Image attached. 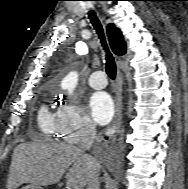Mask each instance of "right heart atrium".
<instances>
[{"mask_svg":"<svg viewBox=\"0 0 188 189\" xmlns=\"http://www.w3.org/2000/svg\"><path fill=\"white\" fill-rule=\"evenodd\" d=\"M56 115L61 135L68 142L76 143L94 133V124L76 103L62 102Z\"/></svg>","mask_w":188,"mask_h":189,"instance_id":"right-heart-atrium-1","label":"right heart atrium"}]
</instances>
